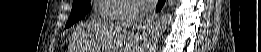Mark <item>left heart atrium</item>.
Wrapping results in <instances>:
<instances>
[{"label": "left heart atrium", "mask_w": 261, "mask_h": 52, "mask_svg": "<svg viewBox=\"0 0 261 52\" xmlns=\"http://www.w3.org/2000/svg\"><path fill=\"white\" fill-rule=\"evenodd\" d=\"M133 2L137 5V7L143 9H149L154 4L153 0H133Z\"/></svg>", "instance_id": "39dd6f15"}]
</instances>
